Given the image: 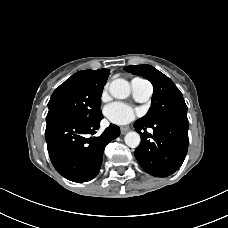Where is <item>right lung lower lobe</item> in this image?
<instances>
[{
	"label": "right lung lower lobe",
	"instance_id": "obj_1",
	"mask_svg": "<svg viewBox=\"0 0 228 228\" xmlns=\"http://www.w3.org/2000/svg\"><path fill=\"white\" fill-rule=\"evenodd\" d=\"M103 115L92 119L61 120L46 127L48 153L55 169L74 182H86L99 172L105 146L120 135V128L110 124L100 136Z\"/></svg>",
	"mask_w": 228,
	"mask_h": 228
}]
</instances>
